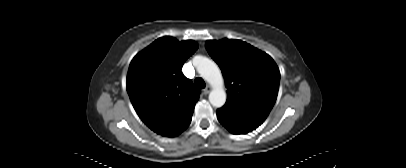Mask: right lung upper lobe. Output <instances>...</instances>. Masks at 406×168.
I'll return each instance as SVG.
<instances>
[{
	"instance_id": "1",
	"label": "right lung upper lobe",
	"mask_w": 406,
	"mask_h": 168,
	"mask_svg": "<svg viewBox=\"0 0 406 168\" xmlns=\"http://www.w3.org/2000/svg\"><path fill=\"white\" fill-rule=\"evenodd\" d=\"M197 48L192 40L162 37L139 52L129 66L126 87L133 107L160 135L177 136L190 124L199 90L181 69Z\"/></svg>"
}]
</instances>
